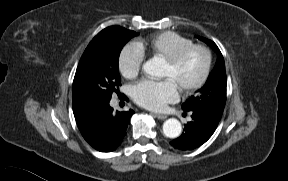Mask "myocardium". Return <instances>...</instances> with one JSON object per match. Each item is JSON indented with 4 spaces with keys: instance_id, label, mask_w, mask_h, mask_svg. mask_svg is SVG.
<instances>
[{
    "instance_id": "myocardium-1",
    "label": "myocardium",
    "mask_w": 288,
    "mask_h": 181,
    "mask_svg": "<svg viewBox=\"0 0 288 181\" xmlns=\"http://www.w3.org/2000/svg\"><path fill=\"white\" fill-rule=\"evenodd\" d=\"M193 51H201L204 54L205 67H204L202 75L200 76V78L196 82H194L193 84L181 89V92L184 94H189V93H192V92L200 89L207 82V80L211 74L212 65H213V55H212L211 50L205 45L192 44L188 47H185V48L179 50L178 52H176L171 57L164 59L165 64H167L170 67H175L179 63H181V61Z\"/></svg>"
}]
</instances>
